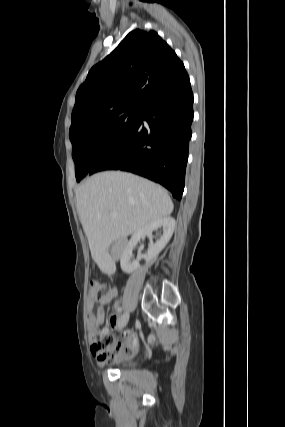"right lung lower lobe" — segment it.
I'll use <instances>...</instances> for the list:
<instances>
[{"instance_id": "obj_1", "label": "right lung lower lobe", "mask_w": 285, "mask_h": 427, "mask_svg": "<svg viewBox=\"0 0 285 427\" xmlns=\"http://www.w3.org/2000/svg\"><path fill=\"white\" fill-rule=\"evenodd\" d=\"M192 120L193 94L183 70L146 96L136 124L89 174L103 170L132 172L160 183L180 200Z\"/></svg>"}]
</instances>
